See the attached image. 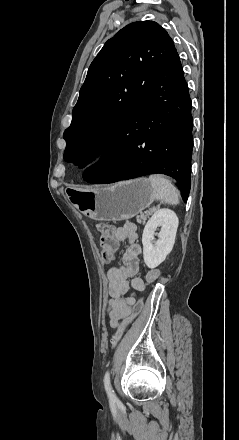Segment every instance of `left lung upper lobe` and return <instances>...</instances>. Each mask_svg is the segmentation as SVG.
<instances>
[{"label": "left lung upper lobe", "mask_w": 239, "mask_h": 440, "mask_svg": "<svg viewBox=\"0 0 239 440\" xmlns=\"http://www.w3.org/2000/svg\"><path fill=\"white\" fill-rule=\"evenodd\" d=\"M174 51L168 33L153 21L131 23L109 39L89 67L64 132V160L84 167L91 151L101 152Z\"/></svg>", "instance_id": "1"}]
</instances>
